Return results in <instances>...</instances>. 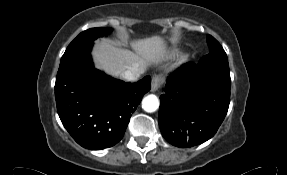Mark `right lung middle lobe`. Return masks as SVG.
<instances>
[{
    "mask_svg": "<svg viewBox=\"0 0 287 175\" xmlns=\"http://www.w3.org/2000/svg\"><path fill=\"white\" fill-rule=\"evenodd\" d=\"M111 31V28H91L80 33L67 47L65 54L85 45L86 43L93 42L97 37L107 35Z\"/></svg>",
    "mask_w": 287,
    "mask_h": 175,
    "instance_id": "dd1d6c3e",
    "label": "right lung middle lobe"
}]
</instances>
